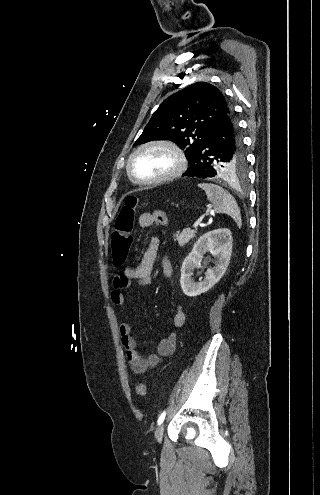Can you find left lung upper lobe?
Wrapping results in <instances>:
<instances>
[{
    "label": "left lung upper lobe",
    "mask_w": 320,
    "mask_h": 495,
    "mask_svg": "<svg viewBox=\"0 0 320 495\" xmlns=\"http://www.w3.org/2000/svg\"><path fill=\"white\" fill-rule=\"evenodd\" d=\"M231 112V106L217 87L207 82L191 84L161 103L134 146L152 140H170L185 148L186 158L190 161L215 125ZM225 154L220 153L223 159L214 164L218 177H228L244 170L242 143L236 154L228 157Z\"/></svg>",
    "instance_id": "obj_1"
}]
</instances>
